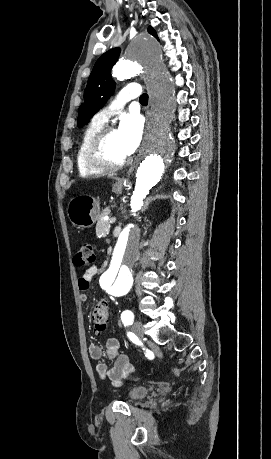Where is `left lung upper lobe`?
Instances as JSON below:
<instances>
[{"mask_svg": "<svg viewBox=\"0 0 271 459\" xmlns=\"http://www.w3.org/2000/svg\"><path fill=\"white\" fill-rule=\"evenodd\" d=\"M148 32L158 39L156 31L151 26ZM119 54L120 49L114 48L101 55L95 63L84 92V103L79 108L78 126L85 125L113 94L115 83L110 72Z\"/></svg>", "mask_w": 271, "mask_h": 459, "instance_id": "obj_1", "label": "left lung upper lobe"}]
</instances>
